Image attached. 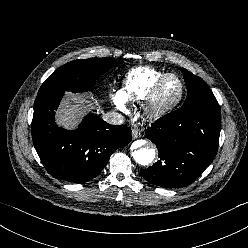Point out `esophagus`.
Wrapping results in <instances>:
<instances>
[{
	"label": "esophagus",
	"mask_w": 248,
	"mask_h": 248,
	"mask_svg": "<svg viewBox=\"0 0 248 248\" xmlns=\"http://www.w3.org/2000/svg\"><path fill=\"white\" fill-rule=\"evenodd\" d=\"M139 137H141V133H140L138 130L133 129V130H132V138H133V139H137V138H139Z\"/></svg>",
	"instance_id": "34e87169"
}]
</instances>
